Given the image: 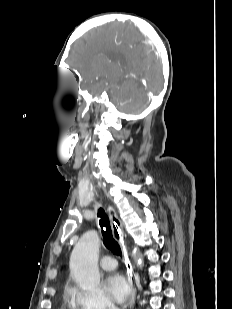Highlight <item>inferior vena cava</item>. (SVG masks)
<instances>
[{"label":"inferior vena cava","instance_id":"602c4592","mask_svg":"<svg viewBox=\"0 0 232 309\" xmlns=\"http://www.w3.org/2000/svg\"><path fill=\"white\" fill-rule=\"evenodd\" d=\"M110 309H118V308H116L115 306H112Z\"/></svg>","mask_w":232,"mask_h":309}]
</instances>
